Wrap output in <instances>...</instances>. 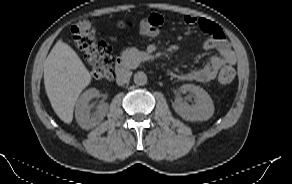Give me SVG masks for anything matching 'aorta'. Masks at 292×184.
Wrapping results in <instances>:
<instances>
[{
    "label": "aorta",
    "instance_id": "obj_1",
    "mask_svg": "<svg viewBox=\"0 0 292 184\" xmlns=\"http://www.w3.org/2000/svg\"><path fill=\"white\" fill-rule=\"evenodd\" d=\"M134 83L136 85H145L147 83V75L143 71L134 74Z\"/></svg>",
    "mask_w": 292,
    "mask_h": 184
}]
</instances>
